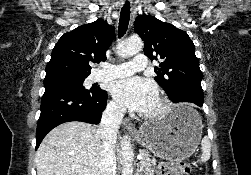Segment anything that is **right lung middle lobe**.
I'll list each match as a JSON object with an SVG mask.
<instances>
[{
	"label": "right lung middle lobe",
	"mask_w": 251,
	"mask_h": 175,
	"mask_svg": "<svg viewBox=\"0 0 251 175\" xmlns=\"http://www.w3.org/2000/svg\"><path fill=\"white\" fill-rule=\"evenodd\" d=\"M85 78L86 77H61V78L44 79V85H48L51 83H68L85 89V87L83 86Z\"/></svg>",
	"instance_id": "right-lung-middle-lobe-1"
}]
</instances>
